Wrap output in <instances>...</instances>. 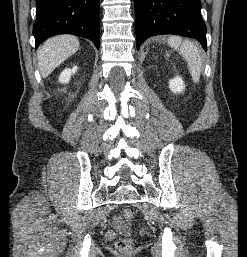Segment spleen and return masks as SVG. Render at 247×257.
Listing matches in <instances>:
<instances>
[{
  "label": "spleen",
  "mask_w": 247,
  "mask_h": 257,
  "mask_svg": "<svg viewBox=\"0 0 247 257\" xmlns=\"http://www.w3.org/2000/svg\"><path fill=\"white\" fill-rule=\"evenodd\" d=\"M168 44L183 56L188 64L193 81L198 83L202 70V58L198 47L189 40L182 42V39L178 36L169 37Z\"/></svg>",
  "instance_id": "obj_1"
}]
</instances>
